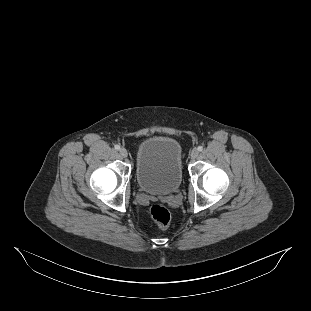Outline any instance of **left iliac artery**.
<instances>
[{
    "mask_svg": "<svg viewBox=\"0 0 311 311\" xmlns=\"http://www.w3.org/2000/svg\"><path fill=\"white\" fill-rule=\"evenodd\" d=\"M198 151H202L203 150V147L202 146H198Z\"/></svg>",
    "mask_w": 311,
    "mask_h": 311,
    "instance_id": "left-iliac-artery-1",
    "label": "left iliac artery"
}]
</instances>
